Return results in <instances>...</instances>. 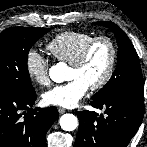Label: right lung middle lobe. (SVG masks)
I'll return each mask as SVG.
<instances>
[{
    "mask_svg": "<svg viewBox=\"0 0 147 147\" xmlns=\"http://www.w3.org/2000/svg\"><path fill=\"white\" fill-rule=\"evenodd\" d=\"M48 28L11 27L0 33V93H28L34 88L27 68L32 45Z\"/></svg>",
    "mask_w": 147,
    "mask_h": 147,
    "instance_id": "dd1d6c3e",
    "label": "right lung middle lobe"
}]
</instances>
